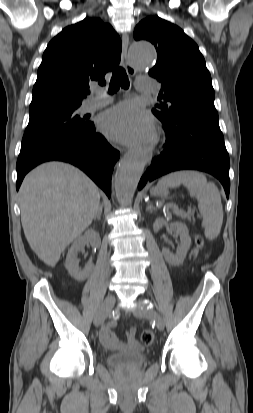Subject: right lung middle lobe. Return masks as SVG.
I'll return each instance as SVG.
<instances>
[{"instance_id": "1", "label": "right lung middle lobe", "mask_w": 253, "mask_h": 413, "mask_svg": "<svg viewBox=\"0 0 253 413\" xmlns=\"http://www.w3.org/2000/svg\"><path fill=\"white\" fill-rule=\"evenodd\" d=\"M78 107L54 108L30 113L22 145L87 128L89 122L85 121V117L82 118L77 114Z\"/></svg>"}]
</instances>
